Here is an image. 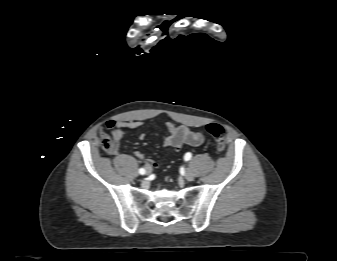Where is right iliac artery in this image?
I'll return each instance as SVG.
<instances>
[{
  "label": "right iliac artery",
  "instance_id": "obj_1",
  "mask_svg": "<svg viewBox=\"0 0 337 261\" xmlns=\"http://www.w3.org/2000/svg\"><path fill=\"white\" fill-rule=\"evenodd\" d=\"M139 173H140L141 175H143V174H145V173H146V171H145V169H144V168H140V169H139Z\"/></svg>",
  "mask_w": 337,
  "mask_h": 261
}]
</instances>
